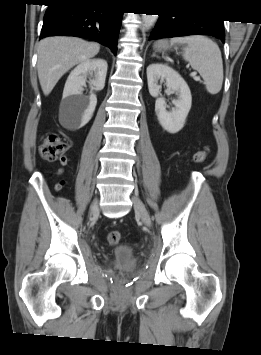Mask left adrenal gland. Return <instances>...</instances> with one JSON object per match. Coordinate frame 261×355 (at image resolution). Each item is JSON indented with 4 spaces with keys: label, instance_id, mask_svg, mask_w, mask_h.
<instances>
[{
    "label": "left adrenal gland",
    "instance_id": "a2214340",
    "mask_svg": "<svg viewBox=\"0 0 261 355\" xmlns=\"http://www.w3.org/2000/svg\"><path fill=\"white\" fill-rule=\"evenodd\" d=\"M152 57H156V54L154 53V54L152 55Z\"/></svg>",
    "mask_w": 261,
    "mask_h": 355
}]
</instances>
